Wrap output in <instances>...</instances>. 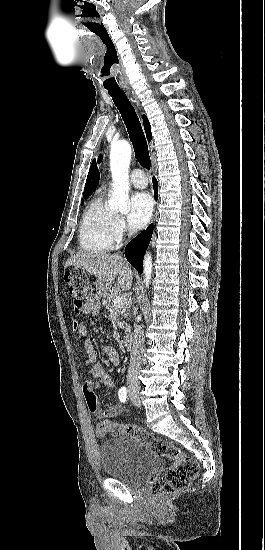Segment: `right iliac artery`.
Returning <instances> with one entry per match:
<instances>
[{
  "instance_id": "1",
  "label": "right iliac artery",
  "mask_w": 265,
  "mask_h": 550,
  "mask_svg": "<svg viewBox=\"0 0 265 550\" xmlns=\"http://www.w3.org/2000/svg\"><path fill=\"white\" fill-rule=\"evenodd\" d=\"M119 400L123 403L126 402L127 399V389L126 387H121L118 392Z\"/></svg>"
}]
</instances>
